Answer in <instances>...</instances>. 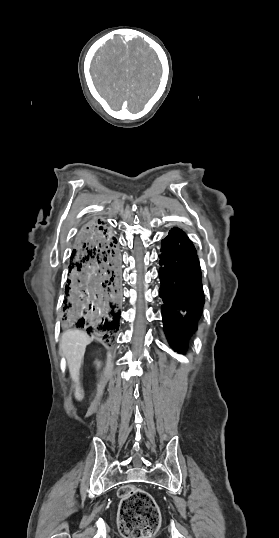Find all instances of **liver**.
Here are the masks:
<instances>
[{"label":"liver","instance_id":"1","mask_svg":"<svg viewBox=\"0 0 279 538\" xmlns=\"http://www.w3.org/2000/svg\"><path fill=\"white\" fill-rule=\"evenodd\" d=\"M93 338H89L85 332L81 330H66L63 332L60 350H62L68 364L70 378L75 382V398L82 400L83 392L79 386V372L83 362L86 346L92 342Z\"/></svg>","mask_w":279,"mask_h":538}]
</instances>
